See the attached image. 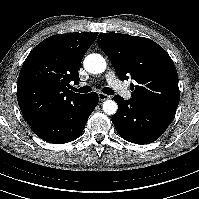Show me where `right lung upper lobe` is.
I'll list each match as a JSON object with an SVG mask.
<instances>
[{
	"label": "right lung upper lobe",
	"mask_w": 199,
	"mask_h": 199,
	"mask_svg": "<svg viewBox=\"0 0 199 199\" xmlns=\"http://www.w3.org/2000/svg\"><path fill=\"white\" fill-rule=\"evenodd\" d=\"M97 33L53 35L39 43L24 61L18 78V104L29 125L76 104L85 94L69 90L79 83L78 68Z\"/></svg>",
	"instance_id": "cb5924a9"
}]
</instances>
